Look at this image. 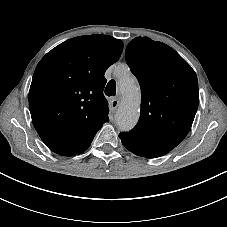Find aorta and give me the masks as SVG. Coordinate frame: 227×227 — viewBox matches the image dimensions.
I'll return each instance as SVG.
<instances>
[{
    "instance_id": "1",
    "label": "aorta",
    "mask_w": 227,
    "mask_h": 227,
    "mask_svg": "<svg viewBox=\"0 0 227 227\" xmlns=\"http://www.w3.org/2000/svg\"><path fill=\"white\" fill-rule=\"evenodd\" d=\"M122 104L116 115V125L121 131L131 130L138 122L140 111V88L126 66L116 69Z\"/></svg>"
}]
</instances>
